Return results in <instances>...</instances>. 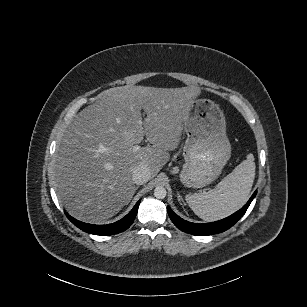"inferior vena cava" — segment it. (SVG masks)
<instances>
[{"label":"inferior vena cava","mask_w":307,"mask_h":307,"mask_svg":"<svg viewBox=\"0 0 307 307\" xmlns=\"http://www.w3.org/2000/svg\"><path fill=\"white\" fill-rule=\"evenodd\" d=\"M151 177L150 169L146 164H140L133 169L132 180L135 184L142 185Z\"/></svg>","instance_id":"obj_1"}]
</instances>
